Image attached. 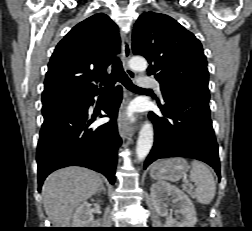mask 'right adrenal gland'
<instances>
[{
  "mask_svg": "<svg viewBox=\"0 0 252 231\" xmlns=\"http://www.w3.org/2000/svg\"><path fill=\"white\" fill-rule=\"evenodd\" d=\"M101 191H103L104 193H106L105 187L103 185L101 186L100 192Z\"/></svg>",
  "mask_w": 252,
  "mask_h": 231,
  "instance_id": "1",
  "label": "right adrenal gland"
}]
</instances>
